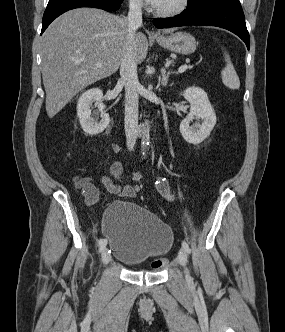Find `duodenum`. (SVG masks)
Here are the masks:
<instances>
[{"mask_svg": "<svg viewBox=\"0 0 285 332\" xmlns=\"http://www.w3.org/2000/svg\"><path fill=\"white\" fill-rule=\"evenodd\" d=\"M147 129H148V125H146V124L143 125L142 129H141V134L145 133L147 131Z\"/></svg>", "mask_w": 285, "mask_h": 332, "instance_id": "410a0bca", "label": "duodenum"}]
</instances>
